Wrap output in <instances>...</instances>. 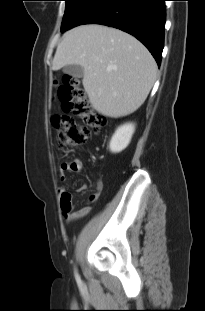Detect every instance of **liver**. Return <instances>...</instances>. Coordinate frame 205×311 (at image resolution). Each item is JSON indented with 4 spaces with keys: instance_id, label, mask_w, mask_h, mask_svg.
Returning <instances> with one entry per match:
<instances>
[{
    "instance_id": "obj_1",
    "label": "liver",
    "mask_w": 205,
    "mask_h": 311,
    "mask_svg": "<svg viewBox=\"0 0 205 311\" xmlns=\"http://www.w3.org/2000/svg\"><path fill=\"white\" fill-rule=\"evenodd\" d=\"M53 70L81 65L92 107L113 118L136 111L146 100L157 65L146 47L119 29L99 24L68 31L58 45Z\"/></svg>"
}]
</instances>
